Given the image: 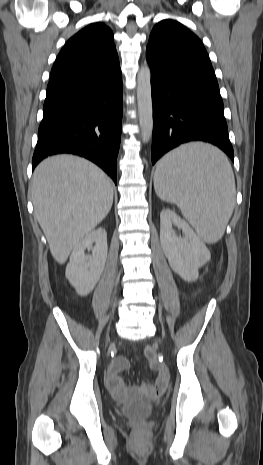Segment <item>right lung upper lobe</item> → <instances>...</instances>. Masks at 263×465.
Here are the masks:
<instances>
[{"instance_id":"right-lung-upper-lobe-1","label":"right lung upper lobe","mask_w":263,"mask_h":465,"mask_svg":"<svg viewBox=\"0 0 263 465\" xmlns=\"http://www.w3.org/2000/svg\"><path fill=\"white\" fill-rule=\"evenodd\" d=\"M119 71L112 31L103 23H93L66 42L52 67L47 91L108 78Z\"/></svg>"}]
</instances>
